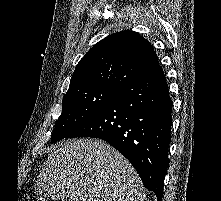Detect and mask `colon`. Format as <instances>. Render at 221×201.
<instances>
[{
    "instance_id": "1",
    "label": "colon",
    "mask_w": 221,
    "mask_h": 201,
    "mask_svg": "<svg viewBox=\"0 0 221 201\" xmlns=\"http://www.w3.org/2000/svg\"><path fill=\"white\" fill-rule=\"evenodd\" d=\"M22 201H38V200L33 196H26L23 198Z\"/></svg>"
}]
</instances>
